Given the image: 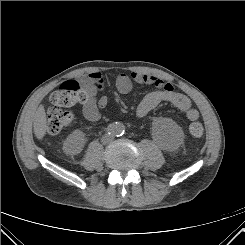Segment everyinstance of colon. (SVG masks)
<instances>
[{
    "label": "colon",
    "instance_id": "1",
    "mask_svg": "<svg viewBox=\"0 0 245 245\" xmlns=\"http://www.w3.org/2000/svg\"><path fill=\"white\" fill-rule=\"evenodd\" d=\"M89 96L88 90L78 81L71 80L60 85L50 98L47 126L49 133L58 134L69 127L73 122V115L64 108L83 103ZM189 133L193 137H201L204 133L203 125L200 122L191 123Z\"/></svg>",
    "mask_w": 245,
    "mask_h": 245
}]
</instances>
